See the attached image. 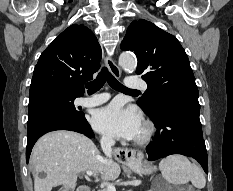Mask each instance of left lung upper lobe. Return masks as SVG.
I'll return each mask as SVG.
<instances>
[{"instance_id":"left-lung-upper-lobe-1","label":"left lung upper lobe","mask_w":233,"mask_h":191,"mask_svg":"<svg viewBox=\"0 0 233 191\" xmlns=\"http://www.w3.org/2000/svg\"><path fill=\"white\" fill-rule=\"evenodd\" d=\"M121 49L137 55L136 73L148 85L137 103L148 116L162 103H187L200 108L188 57L173 35L149 21H133Z\"/></svg>"}]
</instances>
